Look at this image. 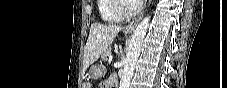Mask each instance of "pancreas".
<instances>
[{"instance_id": "pancreas-1", "label": "pancreas", "mask_w": 227, "mask_h": 88, "mask_svg": "<svg viewBox=\"0 0 227 88\" xmlns=\"http://www.w3.org/2000/svg\"><path fill=\"white\" fill-rule=\"evenodd\" d=\"M109 56H111V49L110 48L106 49L101 54L102 60H107L109 58Z\"/></svg>"}]
</instances>
